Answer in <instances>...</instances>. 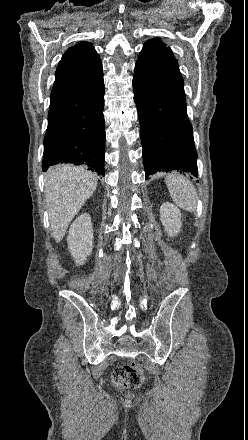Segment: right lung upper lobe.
<instances>
[{
	"instance_id": "1",
	"label": "right lung upper lobe",
	"mask_w": 248,
	"mask_h": 440,
	"mask_svg": "<svg viewBox=\"0 0 248 440\" xmlns=\"http://www.w3.org/2000/svg\"><path fill=\"white\" fill-rule=\"evenodd\" d=\"M102 78L98 53L90 43L80 42L69 48L60 60L50 99L92 88Z\"/></svg>"
}]
</instances>
